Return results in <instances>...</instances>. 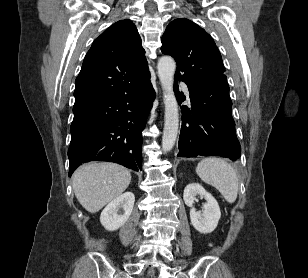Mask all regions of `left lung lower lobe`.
Returning <instances> with one entry per match:
<instances>
[{
	"instance_id": "0a47b994",
	"label": "left lung lower lobe",
	"mask_w": 308,
	"mask_h": 278,
	"mask_svg": "<svg viewBox=\"0 0 308 278\" xmlns=\"http://www.w3.org/2000/svg\"><path fill=\"white\" fill-rule=\"evenodd\" d=\"M178 80L175 78L174 91L181 104L185 97L179 92ZM187 86L192 107L181 106L178 157L223 156L233 161L240 158L226 75Z\"/></svg>"
}]
</instances>
